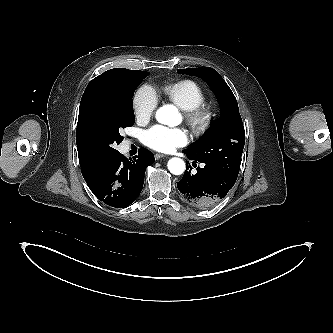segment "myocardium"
I'll use <instances>...</instances> for the list:
<instances>
[{"mask_svg":"<svg viewBox=\"0 0 333 333\" xmlns=\"http://www.w3.org/2000/svg\"><path fill=\"white\" fill-rule=\"evenodd\" d=\"M216 115L215 107L204 103L185 111L186 122L197 136L205 134L212 127Z\"/></svg>","mask_w":333,"mask_h":333,"instance_id":"1","label":"myocardium"}]
</instances>
